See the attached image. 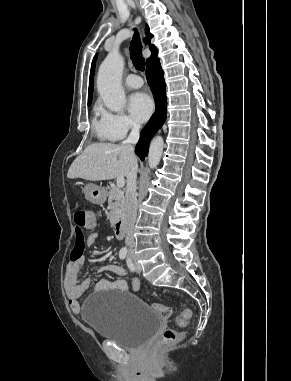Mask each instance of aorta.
Instances as JSON below:
<instances>
[{
	"label": "aorta",
	"instance_id": "obj_1",
	"mask_svg": "<svg viewBox=\"0 0 291 381\" xmlns=\"http://www.w3.org/2000/svg\"><path fill=\"white\" fill-rule=\"evenodd\" d=\"M123 69V57L117 51H112L104 59L98 70V93L105 106L113 112H120L126 104L125 93L121 85ZM163 148V138L156 136L149 146L148 163L150 169L159 164Z\"/></svg>",
	"mask_w": 291,
	"mask_h": 381
}]
</instances>
